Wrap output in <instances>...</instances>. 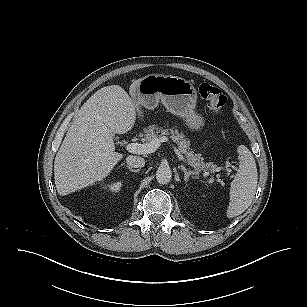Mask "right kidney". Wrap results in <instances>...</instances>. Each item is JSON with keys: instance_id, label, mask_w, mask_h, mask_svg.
Returning a JSON list of instances; mask_svg holds the SVG:
<instances>
[{"instance_id": "right-kidney-1", "label": "right kidney", "mask_w": 307, "mask_h": 307, "mask_svg": "<svg viewBox=\"0 0 307 307\" xmlns=\"http://www.w3.org/2000/svg\"><path fill=\"white\" fill-rule=\"evenodd\" d=\"M122 187V182L121 181H117V182H114V183H111L109 185L106 186V190L107 191H110V192H118L120 191Z\"/></svg>"}]
</instances>
